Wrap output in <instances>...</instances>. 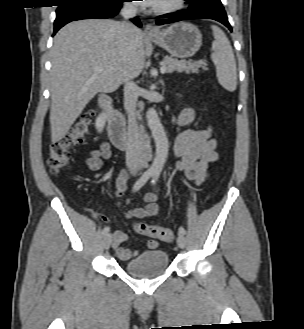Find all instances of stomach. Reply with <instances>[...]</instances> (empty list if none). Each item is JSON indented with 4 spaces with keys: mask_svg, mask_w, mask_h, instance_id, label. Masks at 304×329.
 Segmentation results:
<instances>
[{
    "mask_svg": "<svg viewBox=\"0 0 304 329\" xmlns=\"http://www.w3.org/2000/svg\"><path fill=\"white\" fill-rule=\"evenodd\" d=\"M150 39L177 58L193 56L202 45L199 29L187 22L174 23Z\"/></svg>",
    "mask_w": 304,
    "mask_h": 329,
    "instance_id": "stomach-1",
    "label": "stomach"
}]
</instances>
